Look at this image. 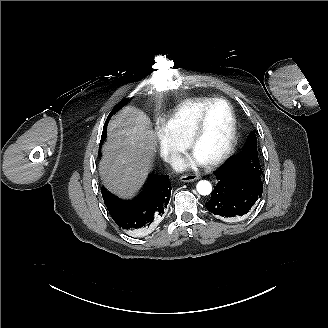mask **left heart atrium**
Instances as JSON below:
<instances>
[{
  "mask_svg": "<svg viewBox=\"0 0 328 328\" xmlns=\"http://www.w3.org/2000/svg\"><path fill=\"white\" fill-rule=\"evenodd\" d=\"M206 162L207 161L203 157H201L196 152L192 151L184 159L178 161L175 164V168L179 171H182L185 169H196L197 167L205 164Z\"/></svg>",
  "mask_w": 328,
  "mask_h": 328,
  "instance_id": "left-heart-atrium-1",
  "label": "left heart atrium"
}]
</instances>
